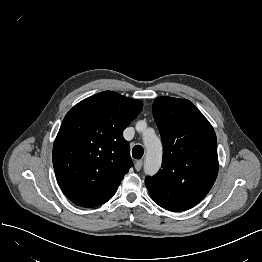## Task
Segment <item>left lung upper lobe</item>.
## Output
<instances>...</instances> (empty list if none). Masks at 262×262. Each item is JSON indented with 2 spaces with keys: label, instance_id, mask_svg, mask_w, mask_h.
<instances>
[{
  "label": "left lung upper lobe",
  "instance_id": "obj_1",
  "mask_svg": "<svg viewBox=\"0 0 262 262\" xmlns=\"http://www.w3.org/2000/svg\"><path fill=\"white\" fill-rule=\"evenodd\" d=\"M153 115L163 143V169L145 184L164 209H190L207 195L218 174L214 129L187 99L158 97Z\"/></svg>",
  "mask_w": 262,
  "mask_h": 262
}]
</instances>
